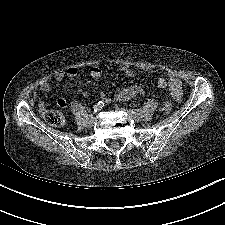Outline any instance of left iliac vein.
Here are the masks:
<instances>
[{
	"label": "left iliac vein",
	"mask_w": 225,
	"mask_h": 225,
	"mask_svg": "<svg viewBox=\"0 0 225 225\" xmlns=\"http://www.w3.org/2000/svg\"><path fill=\"white\" fill-rule=\"evenodd\" d=\"M117 109H123L126 113H128L137 122L141 121L143 118V116L141 114L133 113L129 109H124V108H117Z\"/></svg>",
	"instance_id": "4c4485c4"
}]
</instances>
